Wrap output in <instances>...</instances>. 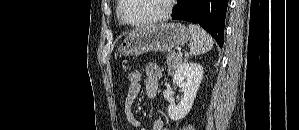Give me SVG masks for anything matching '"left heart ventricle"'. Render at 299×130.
I'll list each match as a JSON object with an SVG mask.
<instances>
[{
  "mask_svg": "<svg viewBox=\"0 0 299 130\" xmlns=\"http://www.w3.org/2000/svg\"><path fill=\"white\" fill-rule=\"evenodd\" d=\"M166 5L167 0H127L123 14L130 22H142L163 13Z\"/></svg>",
  "mask_w": 299,
  "mask_h": 130,
  "instance_id": "1",
  "label": "left heart ventricle"
}]
</instances>
